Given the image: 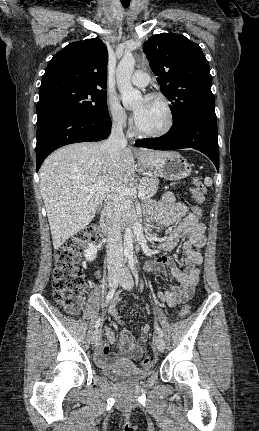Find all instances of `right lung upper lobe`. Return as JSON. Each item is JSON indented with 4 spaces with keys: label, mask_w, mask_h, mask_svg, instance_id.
Here are the masks:
<instances>
[{
    "label": "right lung upper lobe",
    "mask_w": 259,
    "mask_h": 431,
    "mask_svg": "<svg viewBox=\"0 0 259 431\" xmlns=\"http://www.w3.org/2000/svg\"><path fill=\"white\" fill-rule=\"evenodd\" d=\"M51 83L106 89L107 48L102 40L73 42L56 53L45 70L40 90Z\"/></svg>",
    "instance_id": "obj_1"
}]
</instances>
